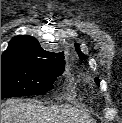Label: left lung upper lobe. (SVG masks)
<instances>
[{
	"instance_id": "obj_1",
	"label": "left lung upper lobe",
	"mask_w": 122,
	"mask_h": 123,
	"mask_svg": "<svg viewBox=\"0 0 122 123\" xmlns=\"http://www.w3.org/2000/svg\"><path fill=\"white\" fill-rule=\"evenodd\" d=\"M75 48H76V51L79 53V57H80L81 59H85L86 57H85L84 54H82V53L80 52L79 45H78L77 43L75 44ZM95 82H96L97 85H99L100 80H99L98 78H95Z\"/></svg>"
}]
</instances>
